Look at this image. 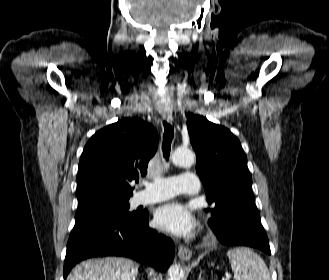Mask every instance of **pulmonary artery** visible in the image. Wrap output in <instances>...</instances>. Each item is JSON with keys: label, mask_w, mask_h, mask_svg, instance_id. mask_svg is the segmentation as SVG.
I'll list each match as a JSON object with an SVG mask.
<instances>
[{"label": "pulmonary artery", "mask_w": 329, "mask_h": 280, "mask_svg": "<svg viewBox=\"0 0 329 280\" xmlns=\"http://www.w3.org/2000/svg\"><path fill=\"white\" fill-rule=\"evenodd\" d=\"M199 189V179L192 172L178 176L156 178L146 184V189L137 194V203L146 205L168 200L177 194L195 195Z\"/></svg>", "instance_id": "pulmonary-artery-1"}]
</instances>
